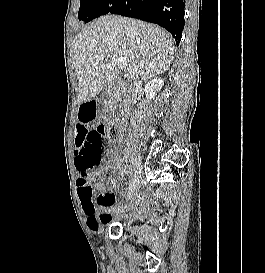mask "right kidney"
I'll return each mask as SVG.
<instances>
[{"label": "right kidney", "mask_w": 265, "mask_h": 273, "mask_svg": "<svg viewBox=\"0 0 265 273\" xmlns=\"http://www.w3.org/2000/svg\"><path fill=\"white\" fill-rule=\"evenodd\" d=\"M164 85V80L161 78L152 79L145 85L144 92L148 100L155 98L156 92L160 91Z\"/></svg>", "instance_id": "ca27d5eb"}]
</instances>
